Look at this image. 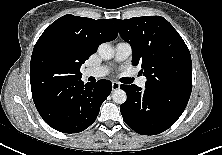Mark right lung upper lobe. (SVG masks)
Masks as SVG:
<instances>
[{"instance_id":"right-lung-upper-lobe-1","label":"right lung upper lobe","mask_w":222,"mask_h":155,"mask_svg":"<svg viewBox=\"0 0 222 155\" xmlns=\"http://www.w3.org/2000/svg\"><path fill=\"white\" fill-rule=\"evenodd\" d=\"M117 36L113 19L60 17L42 33L34 46L30 62L31 90L38 92L81 77V65L100 44Z\"/></svg>"}]
</instances>
